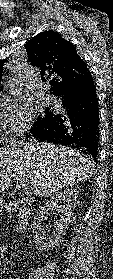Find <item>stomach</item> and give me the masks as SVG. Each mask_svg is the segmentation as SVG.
Here are the masks:
<instances>
[{
	"label": "stomach",
	"mask_w": 113,
	"mask_h": 279,
	"mask_svg": "<svg viewBox=\"0 0 113 279\" xmlns=\"http://www.w3.org/2000/svg\"><path fill=\"white\" fill-rule=\"evenodd\" d=\"M1 206H2V200L0 199V208H1Z\"/></svg>",
	"instance_id": "obj_1"
}]
</instances>
